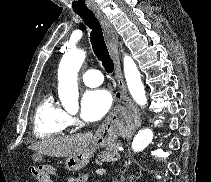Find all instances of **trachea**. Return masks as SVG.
Here are the masks:
<instances>
[{
    "instance_id": "1",
    "label": "trachea",
    "mask_w": 211,
    "mask_h": 182,
    "mask_svg": "<svg viewBox=\"0 0 211 182\" xmlns=\"http://www.w3.org/2000/svg\"><path fill=\"white\" fill-rule=\"evenodd\" d=\"M84 21V23L91 29L90 41L92 44L93 51L107 73L114 71V63L110 58L101 25L98 19L90 10L75 11Z\"/></svg>"
}]
</instances>
